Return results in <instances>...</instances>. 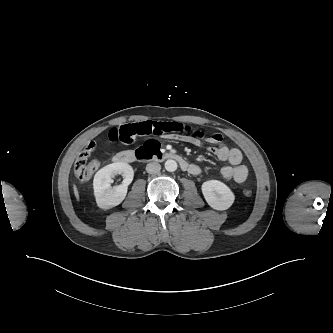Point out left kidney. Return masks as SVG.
<instances>
[{
    "mask_svg": "<svg viewBox=\"0 0 333 333\" xmlns=\"http://www.w3.org/2000/svg\"><path fill=\"white\" fill-rule=\"evenodd\" d=\"M201 190L206 202L215 210H227L232 206L235 199L231 189L218 180L204 182Z\"/></svg>",
    "mask_w": 333,
    "mask_h": 333,
    "instance_id": "left-kidney-1",
    "label": "left kidney"
}]
</instances>
